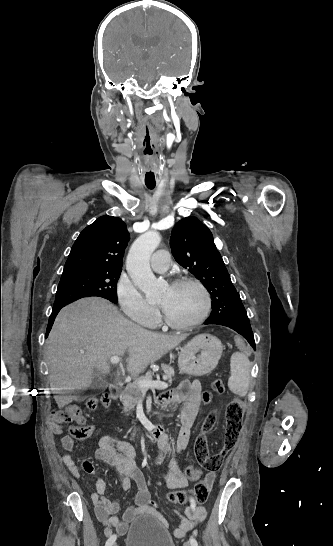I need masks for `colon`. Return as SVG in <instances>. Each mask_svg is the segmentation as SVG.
<instances>
[{"instance_id": "colon-1", "label": "colon", "mask_w": 333, "mask_h": 546, "mask_svg": "<svg viewBox=\"0 0 333 546\" xmlns=\"http://www.w3.org/2000/svg\"><path fill=\"white\" fill-rule=\"evenodd\" d=\"M211 390L215 394H222L225 391V385L223 381L220 379L214 380L211 384ZM212 392L204 391L202 393L201 400L203 403L208 404L211 402ZM110 402L111 398L109 394L103 393L100 398V403L104 406H108ZM98 403L99 401L97 398L90 397L86 400L85 406L89 410H94L98 406ZM79 413L80 410L76 406H70L68 408V414L70 415L75 416L79 415ZM243 417V403L238 399L231 401L227 405L225 410L226 427L223 446L219 451L215 453H210L208 449L207 433L216 424V414L214 412H211L207 415L202 425V432L197 437L194 445L195 457L204 470L208 472H216L222 467L226 456L236 446L242 429ZM63 422V415L56 414L53 422V429L55 432L59 433L61 431V425ZM93 430V426L79 423V425L70 427L69 432L72 437L83 440L89 438L92 435ZM199 471L201 470L198 468L188 466L185 469V475L188 477L193 476L196 475ZM208 496V486L202 479H199L191 491L171 492L168 494L167 498L171 503L183 505L189 503L191 500L194 502L204 503L207 501Z\"/></svg>"}]
</instances>
